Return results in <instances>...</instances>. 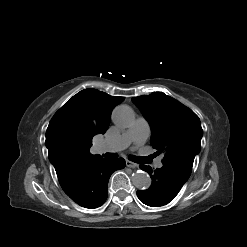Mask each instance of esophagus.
<instances>
[{
	"label": "esophagus",
	"mask_w": 247,
	"mask_h": 247,
	"mask_svg": "<svg viewBox=\"0 0 247 247\" xmlns=\"http://www.w3.org/2000/svg\"><path fill=\"white\" fill-rule=\"evenodd\" d=\"M126 166L129 167V168H136L137 167V164L129 161V160H126Z\"/></svg>",
	"instance_id": "obj_1"
}]
</instances>
